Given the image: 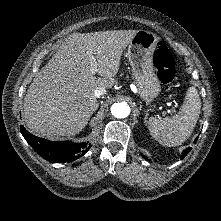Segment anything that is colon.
Here are the masks:
<instances>
[{
  "label": "colon",
  "instance_id": "1",
  "mask_svg": "<svg viewBox=\"0 0 221 221\" xmlns=\"http://www.w3.org/2000/svg\"><path fill=\"white\" fill-rule=\"evenodd\" d=\"M153 64L157 70V77L163 84H171L175 79L174 58L165 42L157 44L153 56Z\"/></svg>",
  "mask_w": 221,
  "mask_h": 221
}]
</instances>
